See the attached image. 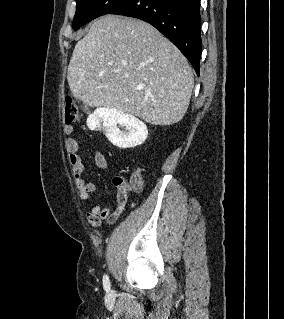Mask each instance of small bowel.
Segmentation results:
<instances>
[{
  "mask_svg": "<svg viewBox=\"0 0 284 319\" xmlns=\"http://www.w3.org/2000/svg\"><path fill=\"white\" fill-rule=\"evenodd\" d=\"M67 135H71L74 132L72 126L67 125L64 129ZM65 148L68 154V160L72 168V174L75 182V186L79 192V197L82 201L92 202L93 194L96 190L95 183L86 181L83 177L84 164L79 151V144L76 139L70 137L65 141ZM95 164L101 170L108 169V162L102 152L97 151L95 153ZM116 208L114 210L110 208H103L99 204H93L90 210L86 213V220L94 227L98 228L101 222L105 220L109 224H113L124 212L127 203V193L124 189L118 188L116 197Z\"/></svg>",
  "mask_w": 284,
  "mask_h": 319,
  "instance_id": "obj_1",
  "label": "small bowel"
}]
</instances>
